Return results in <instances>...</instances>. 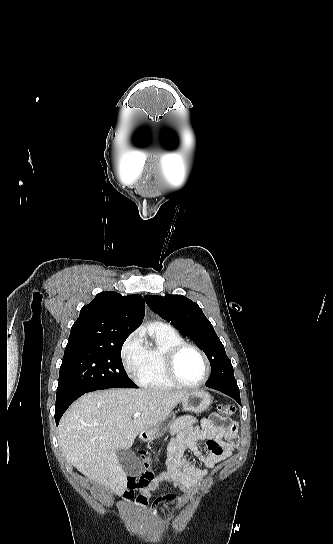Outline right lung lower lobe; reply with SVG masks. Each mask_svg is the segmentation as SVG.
Returning a JSON list of instances; mask_svg holds the SVG:
<instances>
[{
	"mask_svg": "<svg viewBox=\"0 0 333 544\" xmlns=\"http://www.w3.org/2000/svg\"><path fill=\"white\" fill-rule=\"evenodd\" d=\"M101 389H81L78 387L57 388L56 406H55V421L59 424L60 418L67 410V408L77 398L87 392H92Z\"/></svg>",
	"mask_w": 333,
	"mask_h": 544,
	"instance_id": "1",
	"label": "right lung lower lobe"
}]
</instances>
